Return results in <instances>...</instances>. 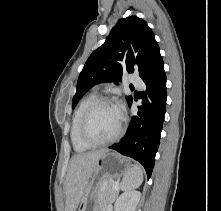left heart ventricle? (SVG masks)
Masks as SVG:
<instances>
[{
	"label": "left heart ventricle",
	"instance_id": "left-heart-ventricle-1",
	"mask_svg": "<svg viewBox=\"0 0 221 211\" xmlns=\"http://www.w3.org/2000/svg\"><path fill=\"white\" fill-rule=\"evenodd\" d=\"M121 123L119 110L112 105H101L91 114L88 122V135L97 141L112 137Z\"/></svg>",
	"mask_w": 221,
	"mask_h": 211
}]
</instances>
